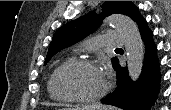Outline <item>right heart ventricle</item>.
<instances>
[{
	"mask_svg": "<svg viewBox=\"0 0 171 110\" xmlns=\"http://www.w3.org/2000/svg\"><path fill=\"white\" fill-rule=\"evenodd\" d=\"M53 74H54V72L52 73V75L50 76V78L48 80V84H47L48 92L54 100L64 102L66 100L60 98L54 91L53 83H52Z\"/></svg>",
	"mask_w": 171,
	"mask_h": 110,
	"instance_id": "e07e8e85",
	"label": "right heart ventricle"
}]
</instances>
